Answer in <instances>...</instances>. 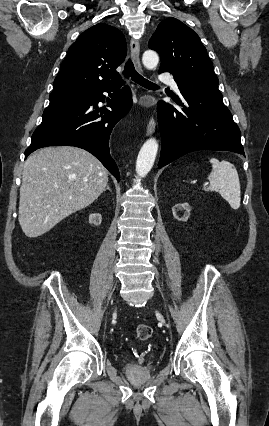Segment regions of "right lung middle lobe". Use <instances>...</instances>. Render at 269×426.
<instances>
[{"label": "right lung middle lobe", "mask_w": 269, "mask_h": 426, "mask_svg": "<svg viewBox=\"0 0 269 426\" xmlns=\"http://www.w3.org/2000/svg\"><path fill=\"white\" fill-rule=\"evenodd\" d=\"M84 93L79 91L52 92L49 97V106L44 110L43 114L56 112L77 104L85 96Z\"/></svg>", "instance_id": "dd1d6c3e"}]
</instances>
